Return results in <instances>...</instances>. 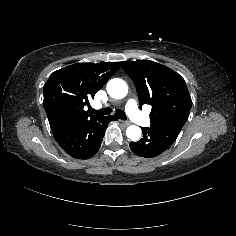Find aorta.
Returning a JSON list of instances; mask_svg holds the SVG:
<instances>
[{"instance_id":"aorta-1","label":"aorta","mask_w":236,"mask_h":236,"mask_svg":"<svg viewBox=\"0 0 236 236\" xmlns=\"http://www.w3.org/2000/svg\"><path fill=\"white\" fill-rule=\"evenodd\" d=\"M106 91L110 97L119 99L126 96L128 87L125 81H123L122 79L113 78L108 81L106 85ZM141 134L142 131L140 127L136 125H131L126 130V136L131 141H138L141 138Z\"/></svg>"}]
</instances>
